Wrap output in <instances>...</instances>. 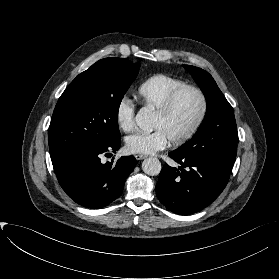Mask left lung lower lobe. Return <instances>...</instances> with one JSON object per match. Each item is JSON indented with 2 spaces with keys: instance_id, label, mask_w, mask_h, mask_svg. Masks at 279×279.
I'll use <instances>...</instances> for the list:
<instances>
[{
  "instance_id": "1",
  "label": "left lung lower lobe",
  "mask_w": 279,
  "mask_h": 279,
  "mask_svg": "<svg viewBox=\"0 0 279 279\" xmlns=\"http://www.w3.org/2000/svg\"><path fill=\"white\" fill-rule=\"evenodd\" d=\"M169 156L181 167L163 166L156 184L157 197L169 211L180 215L198 212L225 188L231 171L225 165L211 159L181 157L174 151Z\"/></svg>"
}]
</instances>
